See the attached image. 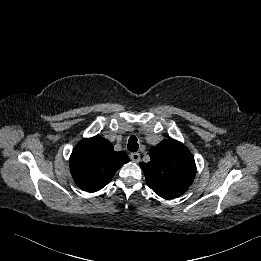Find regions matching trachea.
Wrapping results in <instances>:
<instances>
[{"instance_id": "trachea-1", "label": "trachea", "mask_w": 261, "mask_h": 261, "mask_svg": "<svg viewBox=\"0 0 261 261\" xmlns=\"http://www.w3.org/2000/svg\"><path fill=\"white\" fill-rule=\"evenodd\" d=\"M138 142H137V138L135 136H131L128 140V145H127V148L129 151L131 152H137L138 150Z\"/></svg>"}]
</instances>
